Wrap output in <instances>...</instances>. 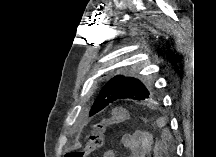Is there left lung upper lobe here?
I'll return each instance as SVG.
<instances>
[{
  "label": "left lung upper lobe",
  "instance_id": "1",
  "mask_svg": "<svg viewBox=\"0 0 216 157\" xmlns=\"http://www.w3.org/2000/svg\"><path fill=\"white\" fill-rule=\"evenodd\" d=\"M116 74H135V69H116ZM155 95V89L150 83H143L134 77H125L117 75L109 80L100 91L96 98V104L109 105L114 101L136 100L146 101L152 99ZM91 108L90 114L94 111Z\"/></svg>",
  "mask_w": 216,
  "mask_h": 157
}]
</instances>
